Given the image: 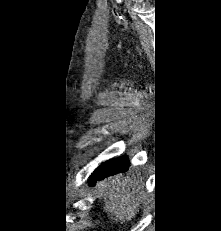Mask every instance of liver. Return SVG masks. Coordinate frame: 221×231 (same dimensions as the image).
Returning a JSON list of instances; mask_svg holds the SVG:
<instances>
[{
  "instance_id": "6515ba94",
  "label": "liver",
  "mask_w": 221,
  "mask_h": 231,
  "mask_svg": "<svg viewBox=\"0 0 221 231\" xmlns=\"http://www.w3.org/2000/svg\"><path fill=\"white\" fill-rule=\"evenodd\" d=\"M143 183L130 176H114L98 184L97 196L104 198V210L115 222L130 221L145 200Z\"/></svg>"
}]
</instances>
